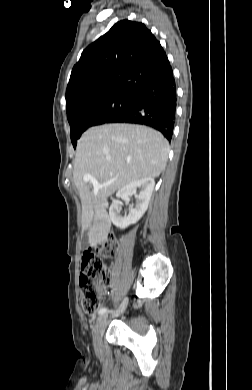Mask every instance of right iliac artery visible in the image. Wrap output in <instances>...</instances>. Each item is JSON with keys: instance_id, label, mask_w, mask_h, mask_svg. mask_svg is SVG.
Returning a JSON list of instances; mask_svg holds the SVG:
<instances>
[{"instance_id": "82829eb1", "label": "right iliac artery", "mask_w": 252, "mask_h": 390, "mask_svg": "<svg viewBox=\"0 0 252 390\" xmlns=\"http://www.w3.org/2000/svg\"><path fill=\"white\" fill-rule=\"evenodd\" d=\"M107 312H108V309L107 308H102V309H100V311H99V314H107Z\"/></svg>"}]
</instances>
